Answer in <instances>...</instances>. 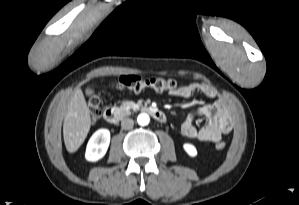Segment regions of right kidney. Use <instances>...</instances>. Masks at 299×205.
<instances>
[{
  "label": "right kidney",
  "instance_id": "ca27d5eb",
  "mask_svg": "<svg viewBox=\"0 0 299 205\" xmlns=\"http://www.w3.org/2000/svg\"><path fill=\"white\" fill-rule=\"evenodd\" d=\"M110 143V131L108 129L97 130L89 139L85 158L88 161L96 162L104 157Z\"/></svg>",
  "mask_w": 299,
  "mask_h": 205
}]
</instances>
